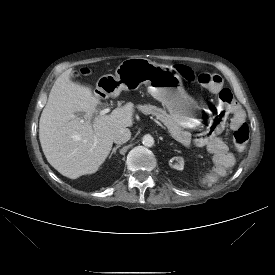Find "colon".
<instances>
[{
	"label": "colon",
	"instance_id": "obj_1",
	"mask_svg": "<svg viewBox=\"0 0 275 275\" xmlns=\"http://www.w3.org/2000/svg\"><path fill=\"white\" fill-rule=\"evenodd\" d=\"M178 70L185 79L189 81L196 80L199 84L203 86L212 88L221 81L218 75L211 74V73H201L195 77L192 71L185 66H179ZM80 74L82 75L87 74V70L82 69ZM235 105L236 103L230 89L228 88L221 89L219 92L220 108L214 118L215 127H219L220 125H223L226 122L228 115L233 110ZM248 139H249V128L247 125L241 126L234 132V143L238 149H243L246 143L248 142Z\"/></svg>",
	"mask_w": 275,
	"mask_h": 275
}]
</instances>
